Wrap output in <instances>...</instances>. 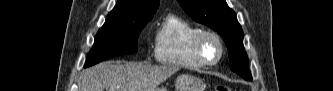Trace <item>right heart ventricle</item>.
I'll return each mask as SVG.
<instances>
[{
    "label": "right heart ventricle",
    "instance_id": "1",
    "mask_svg": "<svg viewBox=\"0 0 333 91\" xmlns=\"http://www.w3.org/2000/svg\"><path fill=\"white\" fill-rule=\"evenodd\" d=\"M200 29L186 19L170 14L156 30L154 57L157 62L180 69H201L193 52V39Z\"/></svg>",
    "mask_w": 333,
    "mask_h": 91
}]
</instances>
